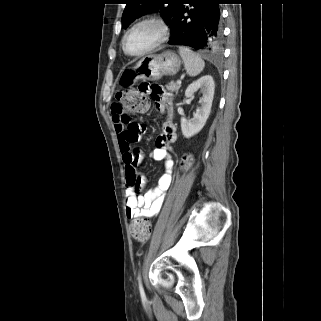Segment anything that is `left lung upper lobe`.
Here are the masks:
<instances>
[{
	"label": "left lung upper lobe",
	"instance_id": "obj_1",
	"mask_svg": "<svg viewBox=\"0 0 321 321\" xmlns=\"http://www.w3.org/2000/svg\"><path fill=\"white\" fill-rule=\"evenodd\" d=\"M182 0H126L122 14V26L127 28L136 18L152 12H160L167 24H170Z\"/></svg>",
	"mask_w": 321,
	"mask_h": 321
}]
</instances>
